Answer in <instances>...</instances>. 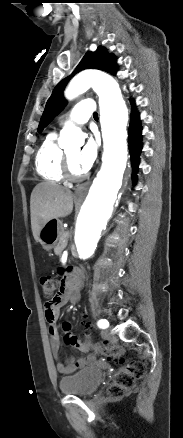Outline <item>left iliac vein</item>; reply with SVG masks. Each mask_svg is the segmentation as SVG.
<instances>
[{"instance_id": "obj_1", "label": "left iliac vein", "mask_w": 183, "mask_h": 438, "mask_svg": "<svg viewBox=\"0 0 183 438\" xmlns=\"http://www.w3.org/2000/svg\"><path fill=\"white\" fill-rule=\"evenodd\" d=\"M101 336L105 340H109V341H114L115 340V337L110 333V331L108 329L103 330L101 332Z\"/></svg>"}]
</instances>
